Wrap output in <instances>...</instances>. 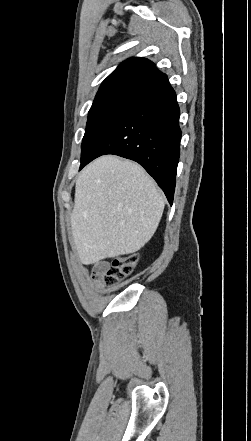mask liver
Here are the masks:
<instances>
[{
	"label": "liver",
	"instance_id": "obj_1",
	"mask_svg": "<svg viewBox=\"0 0 251 441\" xmlns=\"http://www.w3.org/2000/svg\"><path fill=\"white\" fill-rule=\"evenodd\" d=\"M71 228L83 264L140 250L154 235L165 200L145 170L129 160L102 156L76 180Z\"/></svg>",
	"mask_w": 251,
	"mask_h": 441
}]
</instances>
